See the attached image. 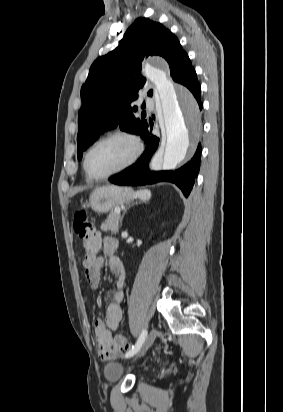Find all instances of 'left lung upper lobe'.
I'll return each mask as SVG.
<instances>
[{
	"label": "left lung upper lobe",
	"mask_w": 283,
	"mask_h": 412,
	"mask_svg": "<svg viewBox=\"0 0 283 412\" xmlns=\"http://www.w3.org/2000/svg\"><path fill=\"white\" fill-rule=\"evenodd\" d=\"M149 55L165 58L176 82L194 69L172 32L160 23L138 18L115 50L94 61L81 88L83 104L78 113V160L106 130L119 125L123 131L140 134L147 128L146 120L134 117L137 107L130 104L146 82L140 75V68L141 61ZM148 96H152V90Z\"/></svg>",
	"instance_id": "obj_1"
}]
</instances>
